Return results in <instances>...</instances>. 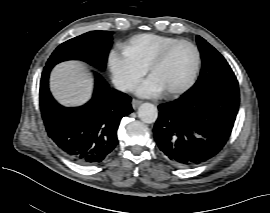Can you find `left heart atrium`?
<instances>
[{"instance_id": "1", "label": "left heart atrium", "mask_w": 270, "mask_h": 213, "mask_svg": "<svg viewBox=\"0 0 270 213\" xmlns=\"http://www.w3.org/2000/svg\"><path fill=\"white\" fill-rule=\"evenodd\" d=\"M137 93L142 97L152 98L159 96L162 93V89L158 83L150 77L138 88Z\"/></svg>"}]
</instances>
